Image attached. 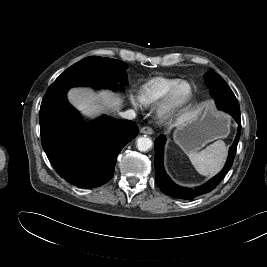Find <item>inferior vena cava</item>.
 <instances>
[{
  "label": "inferior vena cava",
  "mask_w": 267,
  "mask_h": 267,
  "mask_svg": "<svg viewBox=\"0 0 267 267\" xmlns=\"http://www.w3.org/2000/svg\"><path fill=\"white\" fill-rule=\"evenodd\" d=\"M119 115L124 118V119H128V120H132L135 118L136 113L134 110H127L125 112H120Z\"/></svg>",
  "instance_id": "obj_1"
}]
</instances>
